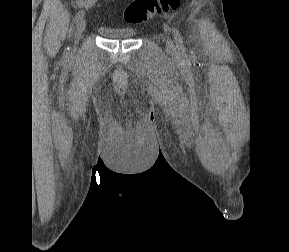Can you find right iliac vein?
<instances>
[{"mask_svg": "<svg viewBox=\"0 0 289 252\" xmlns=\"http://www.w3.org/2000/svg\"><path fill=\"white\" fill-rule=\"evenodd\" d=\"M86 28V21L82 18L76 23V29H75V42H78L82 33L84 32Z\"/></svg>", "mask_w": 289, "mask_h": 252, "instance_id": "1", "label": "right iliac vein"}]
</instances>
